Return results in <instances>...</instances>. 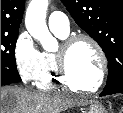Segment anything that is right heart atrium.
<instances>
[{
  "mask_svg": "<svg viewBox=\"0 0 123 113\" xmlns=\"http://www.w3.org/2000/svg\"><path fill=\"white\" fill-rule=\"evenodd\" d=\"M41 52L27 32L15 39L13 58L20 81L28 86L36 85L41 68Z\"/></svg>",
  "mask_w": 123,
  "mask_h": 113,
  "instance_id": "obj_1",
  "label": "right heart atrium"
}]
</instances>
